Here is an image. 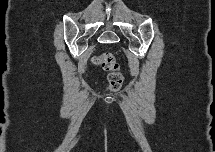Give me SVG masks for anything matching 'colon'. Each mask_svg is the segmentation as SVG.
Instances as JSON below:
<instances>
[{
	"mask_svg": "<svg viewBox=\"0 0 215 152\" xmlns=\"http://www.w3.org/2000/svg\"><path fill=\"white\" fill-rule=\"evenodd\" d=\"M94 63L107 71L108 90L116 92L120 90L124 82V76L120 71L119 65L110 52H103L94 57Z\"/></svg>",
	"mask_w": 215,
	"mask_h": 152,
	"instance_id": "5ec220e1",
	"label": "colon"
}]
</instances>
